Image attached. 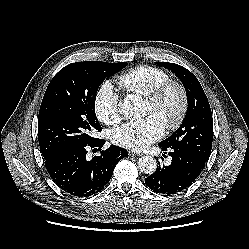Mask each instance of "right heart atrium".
Listing matches in <instances>:
<instances>
[{
	"label": "right heart atrium",
	"mask_w": 249,
	"mask_h": 249,
	"mask_svg": "<svg viewBox=\"0 0 249 249\" xmlns=\"http://www.w3.org/2000/svg\"><path fill=\"white\" fill-rule=\"evenodd\" d=\"M93 108L96 117L102 123L114 125L120 120L119 98L109 82L103 83L97 90Z\"/></svg>",
	"instance_id": "d8ad5b80"
}]
</instances>
